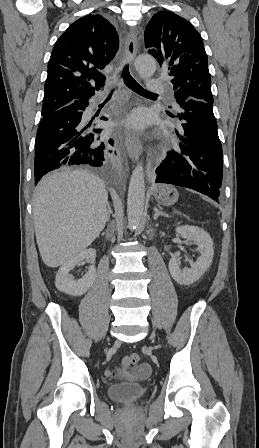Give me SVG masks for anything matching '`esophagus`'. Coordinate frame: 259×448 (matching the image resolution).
<instances>
[{
    "label": "esophagus",
    "mask_w": 259,
    "mask_h": 448,
    "mask_svg": "<svg viewBox=\"0 0 259 448\" xmlns=\"http://www.w3.org/2000/svg\"><path fill=\"white\" fill-rule=\"evenodd\" d=\"M138 39L135 29H132L126 37L124 47V57L127 63H133L137 55ZM126 146L129 156L137 160L142 153V145L138 137H136L130 130L126 131Z\"/></svg>",
    "instance_id": "34e87169"
}]
</instances>
